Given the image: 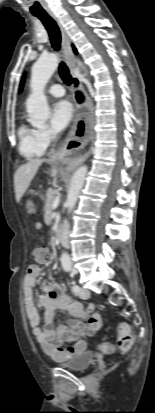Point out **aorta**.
<instances>
[{"mask_svg":"<svg viewBox=\"0 0 155 413\" xmlns=\"http://www.w3.org/2000/svg\"><path fill=\"white\" fill-rule=\"evenodd\" d=\"M58 61L57 55L48 54L41 56L32 66L30 81L31 94L26 101V109L29 122L35 127L43 126L50 115L44 89L50 77L57 69ZM79 64L81 65V63ZM83 69L86 71L85 68ZM87 171V166H81L74 172L71 178L65 203L68 212H71L76 205L79 193L85 182ZM61 264L65 270L71 269L72 263L70 256L65 252L61 255Z\"/></svg>","mask_w":155,"mask_h":413,"instance_id":"aorta-1","label":"aorta"}]
</instances>
